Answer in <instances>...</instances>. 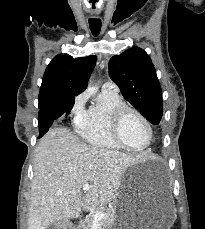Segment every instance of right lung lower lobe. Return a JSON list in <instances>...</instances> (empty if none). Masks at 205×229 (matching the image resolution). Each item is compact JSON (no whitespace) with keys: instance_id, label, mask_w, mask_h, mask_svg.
I'll return each instance as SVG.
<instances>
[{"instance_id":"98d812e1","label":"right lung lower lobe","mask_w":205,"mask_h":229,"mask_svg":"<svg viewBox=\"0 0 205 229\" xmlns=\"http://www.w3.org/2000/svg\"><path fill=\"white\" fill-rule=\"evenodd\" d=\"M74 103L75 99L73 101L71 97H68L60 99L48 107L41 109L38 116L40 133L38 138H41L48 131L55 119L59 118L63 114H66L67 116L73 108Z\"/></svg>"}]
</instances>
